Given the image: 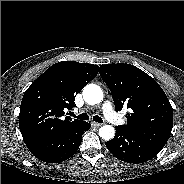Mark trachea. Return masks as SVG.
<instances>
[{
	"instance_id": "trachea-1",
	"label": "trachea",
	"mask_w": 184,
	"mask_h": 184,
	"mask_svg": "<svg viewBox=\"0 0 184 184\" xmlns=\"http://www.w3.org/2000/svg\"><path fill=\"white\" fill-rule=\"evenodd\" d=\"M72 116L77 118V119H80V120H88L89 119V116L86 113H82V114H80L78 116H76L74 113H72ZM93 120L95 122H98V123H102L103 122L102 118L99 117L98 115H95L93 117Z\"/></svg>"
}]
</instances>
